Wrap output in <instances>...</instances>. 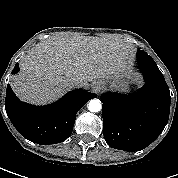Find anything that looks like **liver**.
Returning <instances> with one entry per match:
<instances>
[{
  "instance_id": "6515ba94",
  "label": "liver",
  "mask_w": 178,
  "mask_h": 178,
  "mask_svg": "<svg viewBox=\"0 0 178 178\" xmlns=\"http://www.w3.org/2000/svg\"><path fill=\"white\" fill-rule=\"evenodd\" d=\"M129 45L120 40L96 37H52L31 49L20 63V73L11 82L16 95L35 104L51 102L79 80L108 79L127 72Z\"/></svg>"
}]
</instances>
